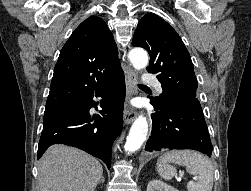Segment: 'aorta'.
Instances as JSON below:
<instances>
[{
	"mask_svg": "<svg viewBox=\"0 0 251 191\" xmlns=\"http://www.w3.org/2000/svg\"><path fill=\"white\" fill-rule=\"evenodd\" d=\"M128 58L135 70H142L148 64V54L142 48H133L128 54ZM148 131V121L144 115H138L134 123L130 127V131L126 137L124 145L126 151H136L141 147L146 139Z\"/></svg>",
	"mask_w": 251,
	"mask_h": 191,
	"instance_id": "762f6f07",
	"label": "aorta"
}]
</instances>
